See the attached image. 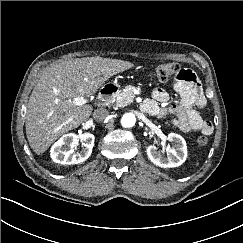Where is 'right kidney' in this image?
Wrapping results in <instances>:
<instances>
[{
    "mask_svg": "<svg viewBox=\"0 0 243 243\" xmlns=\"http://www.w3.org/2000/svg\"><path fill=\"white\" fill-rule=\"evenodd\" d=\"M79 138L82 142L83 149L75 153L74 148L77 146ZM94 139L95 137L91 133H84L81 136L74 133L65 134L51 147V158L59 164L70 165L84 162L92 153Z\"/></svg>",
    "mask_w": 243,
    "mask_h": 243,
    "instance_id": "ca27d5eb",
    "label": "right kidney"
}]
</instances>
